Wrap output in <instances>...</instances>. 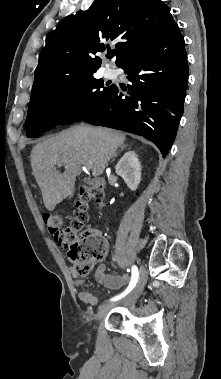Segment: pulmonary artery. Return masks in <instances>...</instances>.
<instances>
[{
    "label": "pulmonary artery",
    "mask_w": 221,
    "mask_h": 379,
    "mask_svg": "<svg viewBox=\"0 0 221 379\" xmlns=\"http://www.w3.org/2000/svg\"><path fill=\"white\" fill-rule=\"evenodd\" d=\"M105 75H106L107 77H113V76L115 75V71H114L113 69H111V68H107V69L105 70Z\"/></svg>",
    "instance_id": "pulmonary-artery-1"
}]
</instances>
